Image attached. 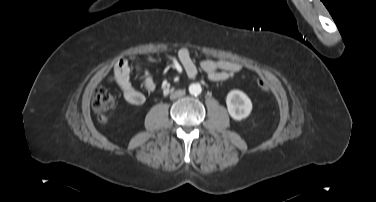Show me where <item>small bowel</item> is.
<instances>
[{
	"instance_id": "1",
	"label": "small bowel",
	"mask_w": 376,
	"mask_h": 202,
	"mask_svg": "<svg viewBox=\"0 0 376 202\" xmlns=\"http://www.w3.org/2000/svg\"><path fill=\"white\" fill-rule=\"evenodd\" d=\"M176 58L189 77L197 76L198 68L189 48L183 47L179 49ZM200 67L206 73L207 78L213 82L226 81L242 70V65L239 62L226 59H204L201 61ZM135 68L139 70L138 65ZM113 73L124 100L130 105L138 106L143 104L145 96L131 82V67L129 63L124 59L117 61L113 67ZM143 86L147 91H152L155 88V83L150 76L146 75L143 78Z\"/></svg>"
}]
</instances>
